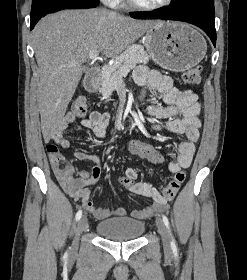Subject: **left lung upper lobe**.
Instances as JSON below:
<instances>
[{
	"mask_svg": "<svg viewBox=\"0 0 247 280\" xmlns=\"http://www.w3.org/2000/svg\"><path fill=\"white\" fill-rule=\"evenodd\" d=\"M197 4H214V0H173L172 8L187 7Z\"/></svg>",
	"mask_w": 247,
	"mask_h": 280,
	"instance_id": "left-lung-upper-lobe-1",
	"label": "left lung upper lobe"
}]
</instances>
